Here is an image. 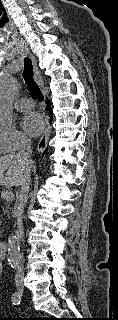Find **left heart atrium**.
<instances>
[{
  "instance_id": "left-heart-atrium-1",
  "label": "left heart atrium",
  "mask_w": 118,
  "mask_h": 320,
  "mask_svg": "<svg viewBox=\"0 0 118 320\" xmlns=\"http://www.w3.org/2000/svg\"><path fill=\"white\" fill-rule=\"evenodd\" d=\"M45 127L42 116L37 112L26 114L22 120V128L30 136H38Z\"/></svg>"
}]
</instances>
